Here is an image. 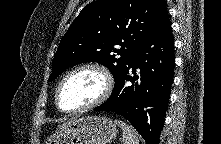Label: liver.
I'll list each match as a JSON object with an SVG mask.
<instances>
[{"label":"liver","mask_w":221,"mask_h":144,"mask_svg":"<svg viewBox=\"0 0 221 144\" xmlns=\"http://www.w3.org/2000/svg\"><path fill=\"white\" fill-rule=\"evenodd\" d=\"M72 120V119H71ZM71 120L67 121L66 123H63L62 126H59V128L64 127L65 125H67Z\"/></svg>","instance_id":"obj_1"}]
</instances>
